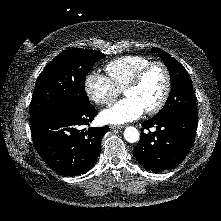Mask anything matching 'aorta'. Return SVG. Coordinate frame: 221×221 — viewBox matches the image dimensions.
Masks as SVG:
<instances>
[{
	"mask_svg": "<svg viewBox=\"0 0 221 221\" xmlns=\"http://www.w3.org/2000/svg\"><path fill=\"white\" fill-rule=\"evenodd\" d=\"M140 133L139 131L132 126L126 127L124 130V138L129 143H135L139 140Z\"/></svg>",
	"mask_w": 221,
	"mask_h": 221,
	"instance_id": "obj_1",
	"label": "aorta"
}]
</instances>
